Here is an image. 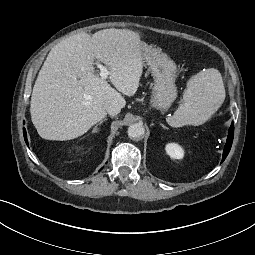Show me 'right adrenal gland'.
Here are the masks:
<instances>
[{
	"label": "right adrenal gland",
	"mask_w": 255,
	"mask_h": 255,
	"mask_svg": "<svg viewBox=\"0 0 255 255\" xmlns=\"http://www.w3.org/2000/svg\"><path fill=\"white\" fill-rule=\"evenodd\" d=\"M107 119L105 118V119H103V120H101L98 124H96V126L93 128V130H92V132H96L97 131V129H98V126H100L104 121H106Z\"/></svg>",
	"instance_id": "1"
}]
</instances>
